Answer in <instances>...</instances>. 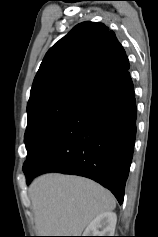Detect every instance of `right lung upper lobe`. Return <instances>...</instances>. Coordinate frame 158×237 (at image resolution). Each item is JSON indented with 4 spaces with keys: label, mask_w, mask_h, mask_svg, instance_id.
I'll return each instance as SVG.
<instances>
[{
    "label": "right lung upper lobe",
    "mask_w": 158,
    "mask_h": 237,
    "mask_svg": "<svg viewBox=\"0 0 158 237\" xmlns=\"http://www.w3.org/2000/svg\"><path fill=\"white\" fill-rule=\"evenodd\" d=\"M115 33L102 23L76 25L46 53L27 107L54 97L85 101L129 69Z\"/></svg>",
    "instance_id": "1"
}]
</instances>
